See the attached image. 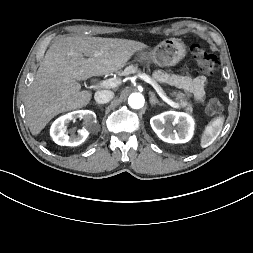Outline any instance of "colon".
<instances>
[{"instance_id":"5ec220e1","label":"colon","mask_w":253,"mask_h":253,"mask_svg":"<svg viewBox=\"0 0 253 253\" xmlns=\"http://www.w3.org/2000/svg\"><path fill=\"white\" fill-rule=\"evenodd\" d=\"M192 54L200 67L207 74L214 73L219 67L218 58L198 44L192 46ZM223 106L215 96H210L206 103V110L209 114L215 115L222 112Z\"/></svg>"}]
</instances>
